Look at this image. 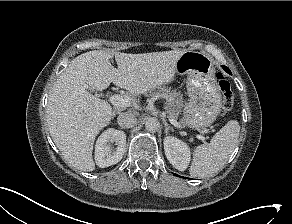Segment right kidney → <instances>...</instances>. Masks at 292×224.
Segmentation results:
<instances>
[{
  "label": "right kidney",
  "mask_w": 292,
  "mask_h": 224,
  "mask_svg": "<svg viewBox=\"0 0 292 224\" xmlns=\"http://www.w3.org/2000/svg\"><path fill=\"white\" fill-rule=\"evenodd\" d=\"M115 142L117 148L112 151L109 143ZM126 135L123 131L107 129L97 139L95 145V161L100 168L117 164L125 153Z\"/></svg>",
  "instance_id": "ca27d5eb"
}]
</instances>
